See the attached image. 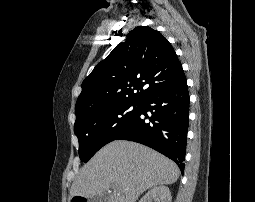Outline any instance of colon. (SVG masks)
<instances>
[{
    "instance_id": "1",
    "label": "colon",
    "mask_w": 255,
    "mask_h": 202,
    "mask_svg": "<svg viewBox=\"0 0 255 202\" xmlns=\"http://www.w3.org/2000/svg\"><path fill=\"white\" fill-rule=\"evenodd\" d=\"M71 202H86V200L81 197H76L73 198Z\"/></svg>"
}]
</instances>
